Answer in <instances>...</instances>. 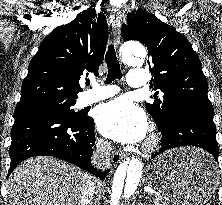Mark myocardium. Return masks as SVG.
Returning a JSON list of instances; mask_svg holds the SVG:
<instances>
[{"mask_svg":"<svg viewBox=\"0 0 222 205\" xmlns=\"http://www.w3.org/2000/svg\"><path fill=\"white\" fill-rule=\"evenodd\" d=\"M158 143L159 136L156 133H152L144 143L143 149L146 152H150L157 147Z\"/></svg>","mask_w":222,"mask_h":205,"instance_id":"1","label":"myocardium"}]
</instances>
